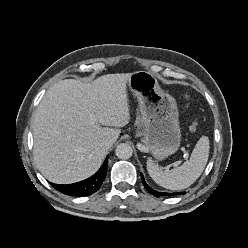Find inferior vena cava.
<instances>
[{
    "label": "inferior vena cava",
    "instance_id": "1",
    "mask_svg": "<svg viewBox=\"0 0 248 248\" xmlns=\"http://www.w3.org/2000/svg\"><path fill=\"white\" fill-rule=\"evenodd\" d=\"M101 145L110 148L113 145V141L111 139H105L102 141Z\"/></svg>",
    "mask_w": 248,
    "mask_h": 248
}]
</instances>
